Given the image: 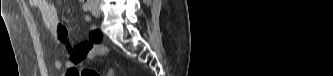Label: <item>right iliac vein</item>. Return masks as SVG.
Segmentation results:
<instances>
[{
    "label": "right iliac vein",
    "mask_w": 333,
    "mask_h": 76,
    "mask_svg": "<svg viewBox=\"0 0 333 76\" xmlns=\"http://www.w3.org/2000/svg\"><path fill=\"white\" fill-rule=\"evenodd\" d=\"M93 10L98 11V7H97V5H94V6H93Z\"/></svg>",
    "instance_id": "63e3f726"
}]
</instances>
